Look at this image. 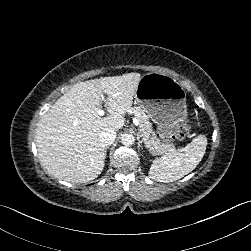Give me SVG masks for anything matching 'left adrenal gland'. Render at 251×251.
<instances>
[{
  "instance_id": "obj_1",
  "label": "left adrenal gland",
  "mask_w": 251,
  "mask_h": 251,
  "mask_svg": "<svg viewBox=\"0 0 251 251\" xmlns=\"http://www.w3.org/2000/svg\"><path fill=\"white\" fill-rule=\"evenodd\" d=\"M141 137H142L141 134L138 133V134H137L138 148L142 145Z\"/></svg>"
}]
</instances>
